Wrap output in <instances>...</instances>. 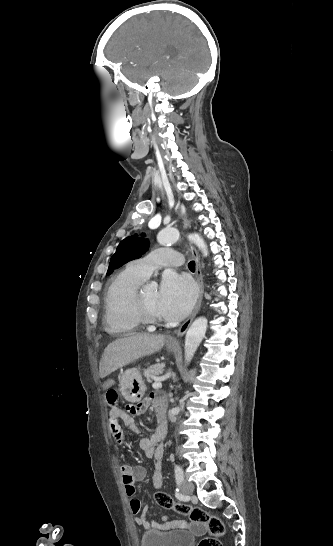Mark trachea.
I'll return each instance as SVG.
<instances>
[{"label":"trachea","mask_w":333,"mask_h":546,"mask_svg":"<svg viewBox=\"0 0 333 546\" xmlns=\"http://www.w3.org/2000/svg\"><path fill=\"white\" fill-rule=\"evenodd\" d=\"M188 268H189L190 271L194 272L195 271V262L190 261L189 264H188Z\"/></svg>","instance_id":"3493384b"}]
</instances>
